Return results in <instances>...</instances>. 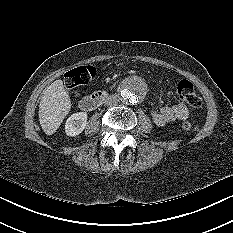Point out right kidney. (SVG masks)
I'll list each match as a JSON object with an SVG mask.
<instances>
[{
	"instance_id": "ca27d5eb",
	"label": "right kidney",
	"mask_w": 233,
	"mask_h": 233,
	"mask_svg": "<svg viewBox=\"0 0 233 233\" xmlns=\"http://www.w3.org/2000/svg\"><path fill=\"white\" fill-rule=\"evenodd\" d=\"M87 113L78 112L72 114L65 123V132L68 136L79 135L87 125Z\"/></svg>"
}]
</instances>
